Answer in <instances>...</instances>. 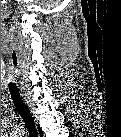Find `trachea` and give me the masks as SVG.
Here are the masks:
<instances>
[{"mask_svg":"<svg viewBox=\"0 0 121 137\" xmlns=\"http://www.w3.org/2000/svg\"><path fill=\"white\" fill-rule=\"evenodd\" d=\"M8 88L13 100V103L16 107V109L18 110L19 114L21 115L22 119L24 120V122L26 123V126L28 128V130H34V120L31 116L30 111L28 110L27 106L25 105L24 101L22 100L19 92H18V88L15 85V83L13 82V79H11V81L8 83Z\"/></svg>","mask_w":121,"mask_h":137,"instance_id":"1","label":"trachea"}]
</instances>
